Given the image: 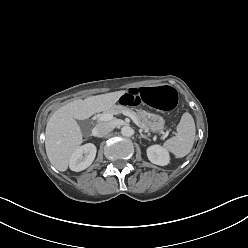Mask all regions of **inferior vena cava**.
Returning <instances> with one entry per match:
<instances>
[{
    "label": "inferior vena cava",
    "mask_w": 248,
    "mask_h": 248,
    "mask_svg": "<svg viewBox=\"0 0 248 248\" xmlns=\"http://www.w3.org/2000/svg\"><path fill=\"white\" fill-rule=\"evenodd\" d=\"M113 130V126L110 123L102 122L95 126L94 134L97 137H103Z\"/></svg>",
    "instance_id": "inferior-vena-cava-1"
}]
</instances>
